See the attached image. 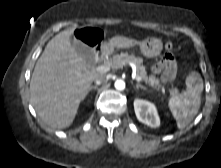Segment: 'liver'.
Returning <instances> with one entry per match:
<instances>
[{
	"label": "liver",
	"mask_w": 221,
	"mask_h": 168,
	"mask_svg": "<svg viewBox=\"0 0 221 168\" xmlns=\"http://www.w3.org/2000/svg\"><path fill=\"white\" fill-rule=\"evenodd\" d=\"M74 29L58 33L46 45L37 60L30 81V99L40 119L52 128L69 127L81 101L87 96L99 73L89 70L86 61L71 45ZM140 42L124 36H114L108 45L112 51L128 49Z\"/></svg>",
	"instance_id": "1"
}]
</instances>
